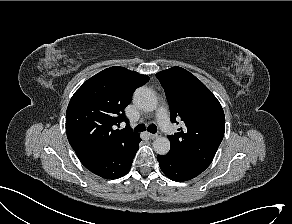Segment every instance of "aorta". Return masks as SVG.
<instances>
[{"mask_svg":"<svg viewBox=\"0 0 292 224\" xmlns=\"http://www.w3.org/2000/svg\"><path fill=\"white\" fill-rule=\"evenodd\" d=\"M134 103L142 110L151 112L157 108L156 94L147 87H140L134 93ZM153 149L159 155H165L170 150V141L167 137H158L153 141Z\"/></svg>","mask_w":292,"mask_h":224,"instance_id":"obj_1","label":"aorta"}]
</instances>
